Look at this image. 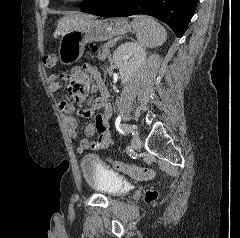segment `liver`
Instances as JSON below:
<instances>
[{"label": "liver", "mask_w": 240, "mask_h": 238, "mask_svg": "<svg viewBox=\"0 0 240 238\" xmlns=\"http://www.w3.org/2000/svg\"><path fill=\"white\" fill-rule=\"evenodd\" d=\"M95 19L93 15H86V14H71L67 15L60 19L57 25V29L54 33V36L62 35L65 32L78 28L81 26L85 21Z\"/></svg>", "instance_id": "6515ba94"}]
</instances>
